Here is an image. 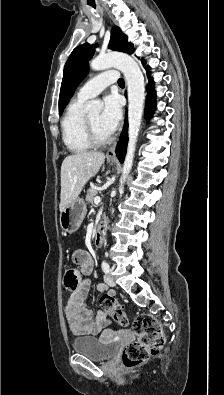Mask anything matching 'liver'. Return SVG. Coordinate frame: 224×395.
<instances>
[{
	"label": "liver",
	"instance_id": "1",
	"mask_svg": "<svg viewBox=\"0 0 224 395\" xmlns=\"http://www.w3.org/2000/svg\"><path fill=\"white\" fill-rule=\"evenodd\" d=\"M105 155L96 151H80L68 155L61 166L60 211L76 200L89 179L104 163ZM104 170V168H103Z\"/></svg>",
	"mask_w": 224,
	"mask_h": 395
}]
</instances>
